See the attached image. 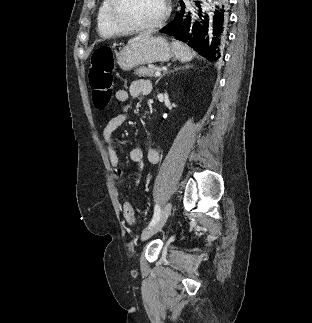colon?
I'll return each instance as SVG.
<instances>
[{
    "mask_svg": "<svg viewBox=\"0 0 312 323\" xmlns=\"http://www.w3.org/2000/svg\"><path fill=\"white\" fill-rule=\"evenodd\" d=\"M114 53L110 47L97 48L91 56V67L89 70V82L92 88V102L97 108H104L111 99L112 87L114 85ZM115 171H120V166H115ZM124 216L130 224L135 223L132 205L126 202Z\"/></svg>",
    "mask_w": 312,
    "mask_h": 323,
    "instance_id": "obj_1",
    "label": "colon"
}]
</instances>
